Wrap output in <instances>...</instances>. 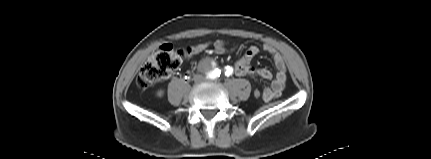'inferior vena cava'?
I'll list each match as a JSON object with an SVG mask.
<instances>
[{"label": "inferior vena cava", "mask_w": 431, "mask_h": 159, "mask_svg": "<svg viewBox=\"0 0 431 159\" xmlns=\"http://www.w3.org/2000/svg\"><path fill=\"white\" fill-rule=\"evenodd\" d=\"M203 80H204V77L202 75H200V74H197V75L194 76V81L195 82H201Z\"/></svg>", "instance_id": "obj_1"}]
</instances>
